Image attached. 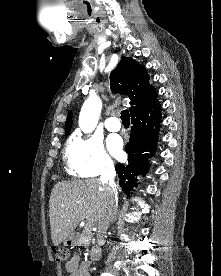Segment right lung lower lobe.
<instances>
[{
	"mask_svg": "<svg viewBox=\"0 0 221 276\" xmlns=\"http://www.w3.org/2000/svg\"><path fill=\"white\" fill-rule=\"evenodd\" d=\"M161 122L160 104L157 101L147 109L131 116L132 133L126 145L128 164H116L119 184L126 194H133L138 176H145L150 165L148 158L154 155ZM147 152H150L148 154Z\"/></svg>",
	"mask_w": 221,
	"mask_h": 276,
	"instance_id": "1",
	"label": "right lung lower lobe"
}]
</instances>
